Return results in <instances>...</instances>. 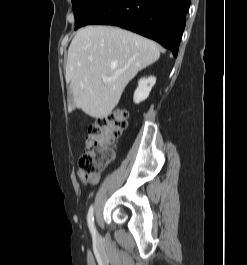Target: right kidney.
I'll use <instances>...</instances> for the list:
<instances>
[{
    "mask_svg": "<svg viewBox=\"0 0 247 265\" xmlns=\"http://www.w3.org/2000/svg\"><path fill=\"white\" fill-rule=\"evenodd\" d=\"M155 83H156V78L154 76L140 79L138 82V87L134 92V97H133L134 102L138 104L146 100Z\"/></svg>",
    "mask_w": 247,
    "mask_h": 265,
    "instance_id": "obj_1",
    "label": "right kidney"
}]
</instances>
